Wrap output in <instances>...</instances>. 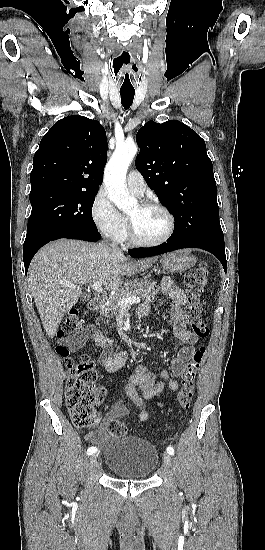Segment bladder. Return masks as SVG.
Wrapping results in <instances>:
<instances>
[{
    "label": "bladder",
    "mask_w": 265,
    "mask_h": 550,
    "mask_svg": "<svg viewBox=\"0 0 265 550\" xmlns=\"http://www.w3.org/2000/svg\"><path fill=\"white\" fill-rule=\"evenodd\" d=\"M159 459L156 447L136 437L113 436L104 453L105 465L117 477L145 479L154 471Z\"/></svg>",
    "instance_id": "1"
}]
</instances>
